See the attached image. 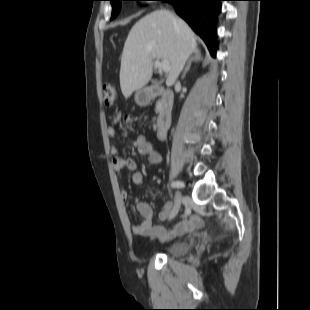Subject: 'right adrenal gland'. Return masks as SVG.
<instances>
[{
	"label": "right adrenal gland",
	"instance_id": "right-adrenal-gland-1",
	"mask_svg": "<svg viewBox=\"0 0 310 310\" xmlns=\"http://www.w3.org/2000/svg\"><path fill=\"white\" fill-rule=\"evenodd\" d=\"M200 60H203V58H202V56H201V53H200V51H196V52L194 53V55L188 60V63H187V65H186V67H185V70H184V72H183V74H182V79L185 78V75H186V73L189 71L192 62H193V61L198 62V61H200Z\"/></svg>",
	"mask_w": 310,
	"mask_h": 310
}]
</instances>
